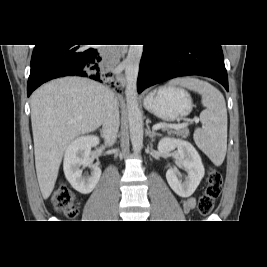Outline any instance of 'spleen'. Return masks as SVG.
Wrapping results in <instances>:
<instances>
[{
  "mask_svg": "<svg viewBox=\"0 0 267 267\" xmlns=\"http://www.w3.org/2000/svg\"><path fill=\"white\" fill-rule=\"evenodd\" d=\"M170 84L181 85L202 96L206 108L200 114L203 126L194 131V141L216 166H220L227 150V110L222 93L210 83L193 77L175 79Z\"/></svg>",
  "mask_w": 267,
  "mask_h": 267,
  "instance_id": "spleen-1",
  "label": "spleen"
}]
</instances>
